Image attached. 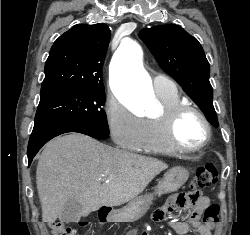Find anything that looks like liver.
<instances>
[{
    "instance_id": "liver-1",
    "label": "liver",
    "mask_w": 250,
    "mask_h": 235,
    "mask_svg": "<svg viewBox=\"0 0 250 235\" xmlns=\"http://www.w3.org/2000/svg\"><path fill=\"white\" fill-rule=\"evenodd\" d=\"M167 168L160 160L110 147L83 134L57 137L45 146L36 170L42 219L55 222L70 200L80 203V217L102 206L125 204Z\"/></svg>"
}]
</instances>
